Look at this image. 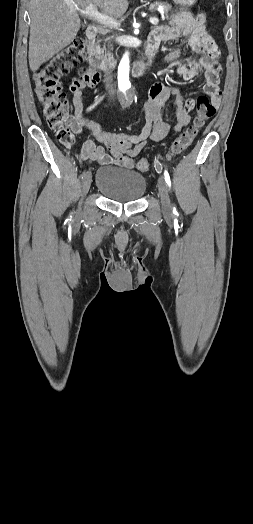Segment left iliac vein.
<instances>
[{"label":"left iliac vein","mask_w":253,"mask_h":524,"mask_svg":"<svg viewBox=\"0 0 253 524\" xmlns=\"http://www.w3.org/2000/svg\"><path fill=\"white\" fill-rule=\"evenodd\" d=\"M158 190L161 198V204L164 214L170 215L172 206L169 197V189L163 176L158 178Z\"/></svg>","instance_id":"1"}]
</instances>
